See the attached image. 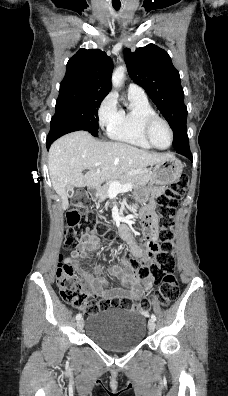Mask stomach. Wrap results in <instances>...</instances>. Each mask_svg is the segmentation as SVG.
Listing matches in <instances>:
<instances>
[{
    "label": "stomach",
    "mask_w": 228,
    "mask_h": 396,
    "mask_svg": "<svg viewBox=\"0 0 228 396\" xmlns=\"http://www.w3.org/2000/svg\"><path fill=\"white\" fill-rule=\"evenodd\" d=\"M183 165L180 160L170 156L166 160L154 164V167L147 170L149 180L158 185H167L175 182L182 174ZM146 184V183H145ZM145 184L135 188V199L144 204L149 199L150 189ZM95 200H100L99 194L93 197Z\"/></svg>",
    "instance_id": "obj_1"
}]
</instances>
